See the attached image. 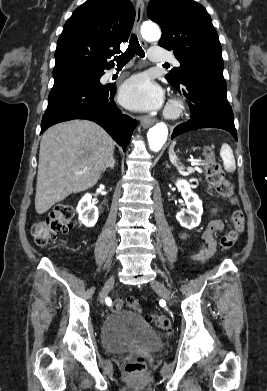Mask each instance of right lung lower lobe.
<instances>
[{
  "mask_svg": "<svg viewBox=\"0 0 267 391\" xmlns=\"http://www.w3.org/2000/svg\"><path fill=\"white\" fill-rule=\"evenodd\" d=\"M97 73L99 82H80L51 90L41 133L59 122L87 119L102 126L125 151L136 121L116 107L113 100L116 86L101 85L100 77L104 72Z\"/></svg>",
  "mask_w": 267,
  "mask_h": 391,
  "instance_id": "1",
  "label": "right lung lower lobe"
}]
</instances>
